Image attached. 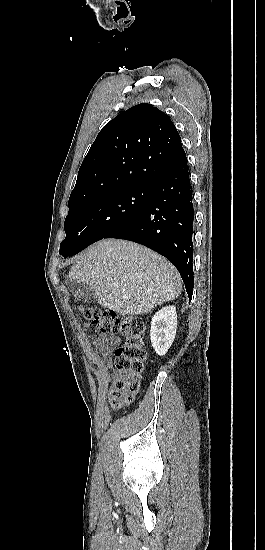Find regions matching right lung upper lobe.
Wrapping results in <instances>:
<instances>
[{
    "label": "right lung upper lobe",
    "mask_w": 265,
    "mask_h": 550,
    "mask_svg": "<svg viewBox=\"0 0 265 550\" xmlns=\"http://www.w3.org/2000/svg\"><path fill=\"white\" fill-rule=\"evenodd\" d=\"M185 151L171 119L151 104L136 105L107 123L78 172L69 203L152 186Z\"/></svg>",
    "instance_id": "obj_1"
}]
</instances>
